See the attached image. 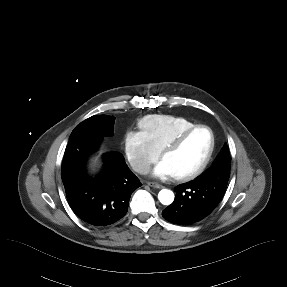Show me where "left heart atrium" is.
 I'll use <instances>...</instances> for the list:
<instances>
[{"label": "left heart atrium", "instance_id": "left-heart-atrium-1", "mask_svg": "<svg viewBox=\"0 0 287 287\" xmlns=\"http://www.w3.org/2000/svg\"><path fill=\"white\" fill-rule=\"evenodd\" d=\"M151 173L153 176L160 177V178L171 176V173H170L168 167L166 166V164L163 161L158 162L152 168Z\"/></svg>", "mask_w": 287, "mask_h": 287}]
</instances>
